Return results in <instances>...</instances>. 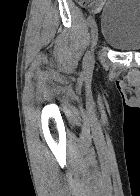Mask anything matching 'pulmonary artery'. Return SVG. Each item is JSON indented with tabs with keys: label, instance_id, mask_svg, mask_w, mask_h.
<instances>
[{
	"label": "pulmonary artery",
	"instance_id": "1",
	"mask_svg": "<svg viewBox=\"0 0 140 196\" xmlns=\"http://www.w3.org/2000/svg\"><path fill=\"white\" fill-rule=\"evenodd\" d=\"M57 192H66V191H57Z\"/></svg>",
	"mask_w": 140,
	"mask_h": 196
}]
</instances>
